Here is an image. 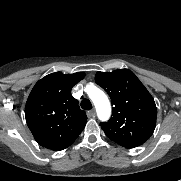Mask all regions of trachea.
Segmentation results:
<instances>
[{
  "instance_id": "1",
  "label": "trachea",
  "mask_w": 181,
  "mask_h": 181,
  "mask_svg": "<svg viewBox=\"0 0 181 181\" xmlns=\"http://www.w3.org/2000/svg\"><path fill=\"white\" fill-rule=\"evenodd\" d=\"M81 108L84 110L92 109V104L88 99H83L81 102Z\"/></svg>"
}]
</instances>
